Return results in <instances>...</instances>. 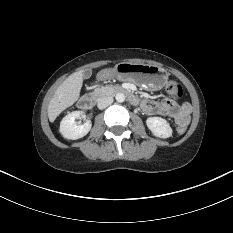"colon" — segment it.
I'll return each instance as SVG.
<instances>
[{"mask_svg":"<svg viewBox=\"0 0 233 233\" xmlns=\"http://www.w3.org/2000/svg\"><path fill=\"white\" fill-rule=\"evenodd\" d=\"M166 91L168 95L173 99H179L183 94L182 86L177 81H174V80H171L167 83ZM185 130H186V127L184 126L177 128V131L180 134L184 133Z\"/></svg>","mask_w":233,"mask_h":233,"instance_id":"1","label":"colon"}]
</instances>
